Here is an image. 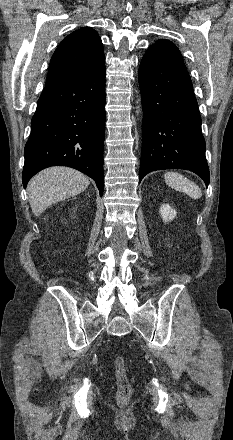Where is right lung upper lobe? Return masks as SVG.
<instances>
[{
    "mask_svg": "<svg viewBox=\"0 0 233 440\" xmlns=\"http://www.w3.org/2000/svg\"><path fill=\"white\" fill-rule=\"evenodd\" d=\"M103 45L97 32L81 28L69 34L54 52L45 87L75 82L105 68Z\"/></svg>",
    "mask_w": 233,
    "mask_h": 440,
    "instance_id": "right-lung-upper-lobe-1",
    "label": "right lung upper lobe"
}]
</instances>
